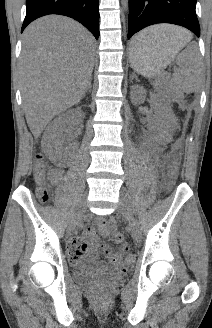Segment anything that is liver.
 <instances>
[{
  "instance_id": "1",
  "label": "liver",
  "mask_w": 212,
  "mask_h": 328,
  "mask_svg": "<svg viewBox=\"0 0 212 328\" xmlns=\"http://www.w3.org/2000/svg\"><path fill=\"white\" fill-rule=\"evenodd\" d=\"M161 40L191 34L180 27L159 25ZM95 39L80 23L58 15L32 22L24 31L19 74L25 117L38 138L46 125L83 97L94 66Z\"/></svg>"
}]
</instances>
